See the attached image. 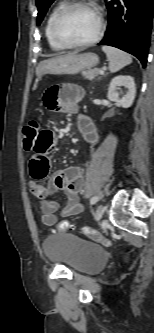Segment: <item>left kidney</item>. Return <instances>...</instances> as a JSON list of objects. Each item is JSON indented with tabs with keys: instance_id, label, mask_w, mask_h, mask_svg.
Segmentation results:
<instances>
[{
	"instance_id": "5707ae66",
	"label": "left kidney",
	"mask_w": 154,
	"mask_h": 333,
	"mask_svg": "<svg viewBox=\"0 0 154 333\" xmlns=\"http://www.w3.org/2000/svg\"><path fill=\"white\" fill-rule=\"evenodd\" d=\"M122 86L127 89V92L120 98V93L118 92V90ZM135 95L136 88L133 77L129 75H119L112 79L108 88L107 97L109 100L116 102L118 106L123 108H129L133 104Z\"/></svg>"
}]
</instances>
